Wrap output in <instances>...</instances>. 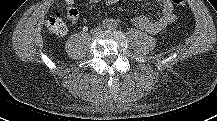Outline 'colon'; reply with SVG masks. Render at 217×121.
I'll return each instance as SVG.
<instances>
[{"label": "colon", "instance_id": "colon-1", "mask_svg": "<svg viewBox=\"0 0 217 121\" xmlns=\"http://www.w3.org/2000/svg\"><path fill=\"white\" fill-rule=\"evenodd\" d=\"M170 2L176 6H184L186 4V0H170ZM46 24L48 30L58 36H63L67 32V26L61 12L52 14Z\"/></svg>", "mask_w": 217, "mask_h": 121}]
</instances>
